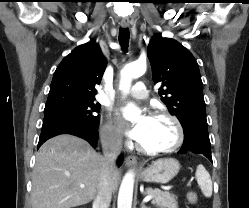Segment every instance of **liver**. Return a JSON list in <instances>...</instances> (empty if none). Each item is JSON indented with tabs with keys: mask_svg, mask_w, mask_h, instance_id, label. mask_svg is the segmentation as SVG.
Listing matches in <instances>:
<instances>
[{
	"mask_svg": "<svg viewBox=\"0 0 249 208\" xmlns=\"http://www.w3.org/2000/svg\"><path fill=\"white\" fill-rule=\"evenodd\" d=\"M102 166L103 156L84 139L69 134L49 139L36 154L32 208H72L89 203L99 192ZM119 179L120 172L115 169L112 191Z\"/></svg>",
	"mask_w": 249,
	"mask_h": 208,
	"instance_id": "1",
	"label": "liver"
}]
</instances>
